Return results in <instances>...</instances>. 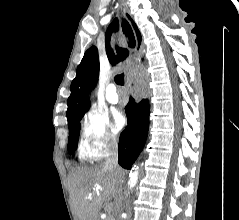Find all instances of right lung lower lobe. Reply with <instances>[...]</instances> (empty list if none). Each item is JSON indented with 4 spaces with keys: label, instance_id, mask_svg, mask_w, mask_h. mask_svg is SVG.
I'll list each match as a JSON object with an SVG mask.
<instances>
[{
    "label": "right lung lower lobe",
    "instance_id": "1",
    "mask_svg": "<svg viewBox=\"0 0 239 220\" xmlns=\"http://www.w3.org/2000/svg\"><path fill=\"white\" fill-rule=\"evenodd\" d=\"M125 111L128 125L120 135L118 162L123 168L131 169L147 139L149 101L143 99L137 104L133 98H130Z\"/></svg>",
    "mask_w": 239,
    "mask_h": 220
}]
</instances>
